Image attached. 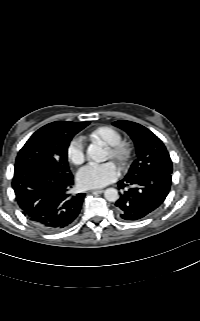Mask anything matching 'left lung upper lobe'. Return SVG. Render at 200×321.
Segmentation results:
<instances>
[{"instance_id":"left-lung-upper-lobe-1","label":"left lung upper lobe","mask_w":200,"mask_h":321,"mask_svg":"<svg viewBox=\"0 0 200 321\" xmlns=\"http://www.w3.org/2000/svg\"><path fill=\"white\" fill-rule=\"evenodd\" d=\"M114 126L124 130L134 141L136 160L126 176L149 171L172 173V161L163 142L146 127L131 121L119 120Z\"/></svg>"}]
</instances>
